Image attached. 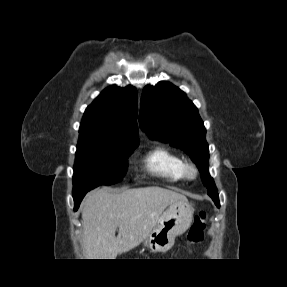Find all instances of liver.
<instances>
[{"instance_id": "obj_1", "label": "liver", "mask_w": 287, "mask_h": 287, "mask_svg": "<svg viewBox=\"0 0 287 287\" xmlns=\"http://www.w3.org/2000/svg\"><path fill=\"white\" fill-rule=\"evenodd\" d=\"M180 200L187 199L158 186L121 193L108 188L91 191L82 209L85 257L115 259L118 254L130 251L149 236L165 208Z\"/></svg>"}]
</instances>
